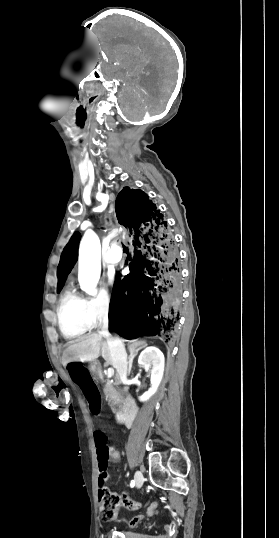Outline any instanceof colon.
I'll list each match as a JSON object with an SVG mask.
<instances>
[{
	"mask_svg": "<svg viewBox=\"0 0 279 538\" xmlns=\"http://www.w3.org/2000/svg\"><path fill=\"white\" fill-rule=\"evenodd\" d=\"M94 442L98 454V484L99 500L102 516L106 520L114 519L119 497L110 491L106 485L107 466L111 454V448L107 435L102 431L94 432Z\"/></svg>",
	"mask_w": 279,
	"mask_h": 538,
	"instance_id": "colon-1",
	"label": "colon"
}]
</instances>
